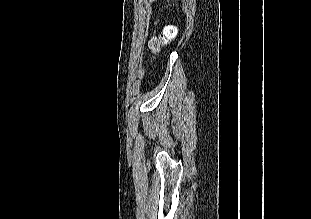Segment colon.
Here are the masks:
<instances>
[{"mask_svg": "<svg viewBox=\"0 0 311 219\" xmlns=\"http://www.w3.org/2000/svg\"><path fill=\"white\" fill-rule=\"evenodd\" d=\"M176 35V29L173 25L166 27L163 32L156 37H153L150 41V49L154 52L159 51L169 41H171Z\"/></svg>", "mask_w": 311, "mask_h": 219, "instance_id": "5ec220e1", "label": "colon"}]
</instances>
